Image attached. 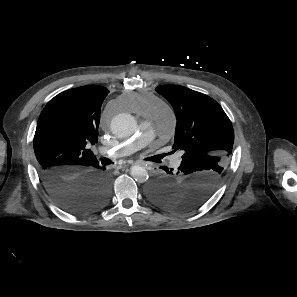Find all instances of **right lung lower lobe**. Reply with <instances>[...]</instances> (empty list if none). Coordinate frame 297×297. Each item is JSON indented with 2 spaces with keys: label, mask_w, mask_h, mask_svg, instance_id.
<instances>
[{
  "label": "right lung lower lobe",
  "mask_w": 297,
  "mask_h": 297,
  "mask_svg": "<svg viewBox=\"0 0 297 297\" xmlns=\"http://www.w3.org/2000/svg\"><path fill=\"white\" fill-rule=\"evenodd\" d=\"M99 165L79 173L40 170L47 193L63 209L71 213H91L108 200L110 178Z\"/></svg>",
  "instance_id": "obj_1"
}]
</instances>
